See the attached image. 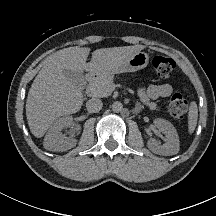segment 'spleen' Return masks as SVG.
I'll return each mask as SVG.
<instances>
[{
	"instance_id": "3e777b00",
	"label": "spleen",
	"mask_w": 216,
	"mask_h": 216,
	"mask_svg": "<svg viewBox=\"0 0 216 216\" xmlns=\"http://www.w3.org/2000/svg\"><path fill=\"white\" fill-rule=\"evenodd\" d=\"M198 119V109L195 102H191L188 113V132L192 134L196 128Z\"/></svg>"
}]
</instances>
